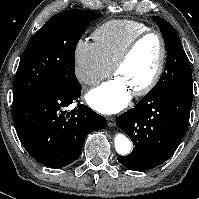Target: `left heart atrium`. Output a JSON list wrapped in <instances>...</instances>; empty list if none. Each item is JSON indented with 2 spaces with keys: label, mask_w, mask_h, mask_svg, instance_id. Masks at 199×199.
Segmentation results:
<instances>
[{
  "label": "left heart atrium",
  "mask_w": 199,
  "mask_h": 199,
  "mask_svg": "<svg viewBox=\"0 0 199 199\" xmlns=\"http://www.w3.org/2000/svg\"><path fill=\"white\" fill-rule=\"evenodd\" d=\"M131 98V91L118 76L90 90L88 104L102 114H114L124 109Z\"/></svg>",
  "instance_id": "39dd6f15"
}]
</instances>
